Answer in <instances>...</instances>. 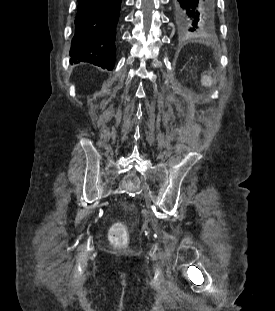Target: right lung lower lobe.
Returning a JSON list of instances; mask_svg holds the SVG:
<instances>
[{
	"instance_id": "1",
	"label": "right lung lower lobe",
	"mask_w": 275,
	"mask_h": 311,
	"mask_svg": "<svg viewBox=\"0 0 275 311\" xmlns=\"http://www.w3.org/2000/svg\"><path fill=\"white\" fill-rule=\"evenodd\" d=\"M122 0H78L71 63L89 62L111 70Z\"/></svg>"
}]
</instances>
